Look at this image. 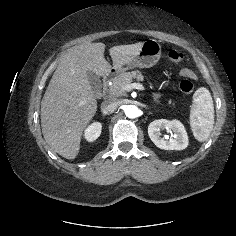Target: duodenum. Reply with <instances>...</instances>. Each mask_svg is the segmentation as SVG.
<instances>
[{
	"label": "duodenum",
	"mask_w": 236,
	"mask_h": 236,
	"mask_svg": "<svg viewBox=\"0 0 236 236\" xmlns=\"http://www.w3.org/2000/svg\"><path fill=\"white\" fill-rule=\"evenodd\" d=\"M115 74L113 70H108L107 72L104 73L103 78H102V93L104 95L105 90L109 84L110 79L112 76Z\"/></svg>",
	"instance_id": "obj_1"
}]
</instances>
